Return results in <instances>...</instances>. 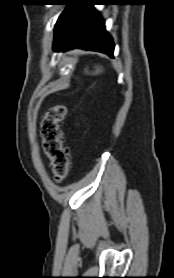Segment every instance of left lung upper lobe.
Returning <instances> with one entry per match:
<instances>
[{"instance_id":"5c2ea615","label":"left lung upper lobe","mask_w":174,"mask_h":278,"mask_svg":"<svg viewBox=\"0 0 174 278\" xmlns=\"http://www.w3.org/2000/svg\"><path fill=\"white\" fill-rule=\"evenodd\" d=\"M61 4L68 5L58 18L55 25L54 46L60 43L68 34L72 18L78 8L77 0H59Z\"/></svg>"}]
</instances>
